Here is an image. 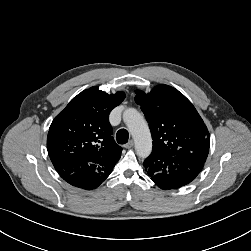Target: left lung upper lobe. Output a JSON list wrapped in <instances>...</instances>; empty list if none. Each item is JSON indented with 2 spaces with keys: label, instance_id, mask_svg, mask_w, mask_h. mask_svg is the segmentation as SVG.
<instances>
[{
  "label": "left lung upper lobe",
  "instance_id": "left-lung-upper-lobe-1",
  "mask_svg": "<svg viewBox=\"0 0 251 251\" xmlns=\"http://www.w3.org/2000/svg\"><path fill=\"white\" fill-rule=\"evenodd\" d=\"M153 139L152 152L188 157L205 163L209 132L192 103L168 85L156 86L149 94L137 91Z\"/></svg>",
  "mask_w": 251,
  "mask_h": 251
}]
</instances>
